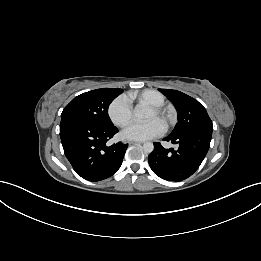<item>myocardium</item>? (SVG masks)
<instances>
[{
	"instance_id": "f54148a6",
	"label": "myocardium",
	"mask_w": 261,
	"mask_h": 261,
	"mask_svg": "<svg viewBox=\"0 0 261 261\" xmlns=\"http://www.w3.org/2000/svg\"><path fill=\"white\" fill-rule=\"evenodd\" d=\"M151 110L164 119L165 129H168L175 120V113L171 108L164 106H151Z\"/></svg>"
}]
</instances>
